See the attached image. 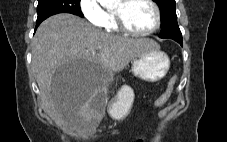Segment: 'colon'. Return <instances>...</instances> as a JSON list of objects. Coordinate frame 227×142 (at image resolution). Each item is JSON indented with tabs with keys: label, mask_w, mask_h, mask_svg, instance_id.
<instances>
[{
	"label": "colon",
	"mask_w": 227,
	"mask_h": 142,
	"mask_svg": "<svg viewBox=\"0 0 227 142\" xmlns=\"http://www.w3.org/2000/svg\"><path fill=\"white\" fill-rule=\"evenodd\" d=\"M174 83H175V79H172L169 83L167 90L155 101L154 103L155 108H160L168 101L171 95Z\"/></svg>",
	"instance_id": "1"
}]
</instances>
